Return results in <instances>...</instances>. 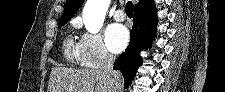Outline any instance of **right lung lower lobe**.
<instances>
[{
    "label": "right lung lower lobe",
    "mask_w": 225,
    "mask_h": 92,
    "mask_svg": "<svg viewBox=\"0 0 225 92\" xmlns=\"http://www.w3.org/2000/svg\"><path fill=\"white\" fill-rule=\"evenodd\" d=\"M156 11L150 14L134 13L133 27L130 32V43L115 61L114 70H120L124 77V86L128 87L142 64L140 51L150 47L157 25Z\"/></svg>",
    "instance_id": "1"
}]
</instances>
